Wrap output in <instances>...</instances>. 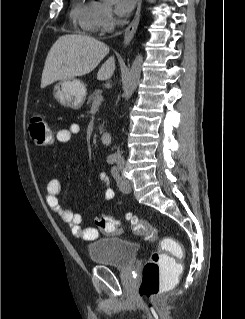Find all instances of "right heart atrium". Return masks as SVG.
Segmentation results:
<instances>
[{
  "label": "right heart atrium",
  "mask_w": 245,
  "mask_h": 319,
  "mask_svg": "<svg viewBox=\"0 0 245 319\" xmlns=\"http://www.w3.org/2000/svg\"><path fill=\"white\" fill-rule=\"evenodd\" d=\"M114 27L113 11L110 6L98 3V12L95 30L101 32H109Z\"/></svg>",
  "instance_id": "d8ad5b80"
}]
</instances>
